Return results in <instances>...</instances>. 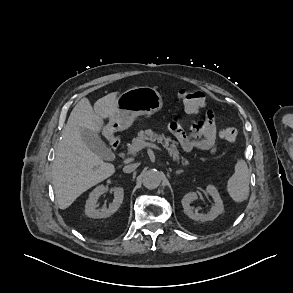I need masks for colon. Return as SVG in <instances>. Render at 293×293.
Here are the masks:
<instances>
[{
  "mask_svg": "<svg viewBox=\"0 0 293 293\" xmlns=\"http://www.w3.org/2000/svg\"><path fill=\"white\" fill-rule=\"evenodd\" d=\"M178 99L190 114L199 113L205 106V97L201 92L182 89L179 91ZM239 135V128L231 125L221 131V137L227 142H233Z\"/></svg>",
  "mask_w": 293,
  "mask_h": 293,
  "instance_id": "obj_1",
  "label": "colon"
}]
</instances>
